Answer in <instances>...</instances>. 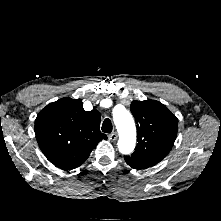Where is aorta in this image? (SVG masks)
<instances>
[{
    "label": "aorta",
    "mask_w": 221,
    "mask_h": 221,
    "mask_svg": "<svg viewBox=\"0 0 221 221\" xmlns=\"http://www.w3.org/2000/svg\"><path fill=\"white\" fill-rule=\"evenodd\" d=\"M113 120L119 133L118 149L122 154H130L136 144V127L131 113L124 107L113 110Z\"/></svg>",
    "instance_id": "obj_1"
}]
</instances>
